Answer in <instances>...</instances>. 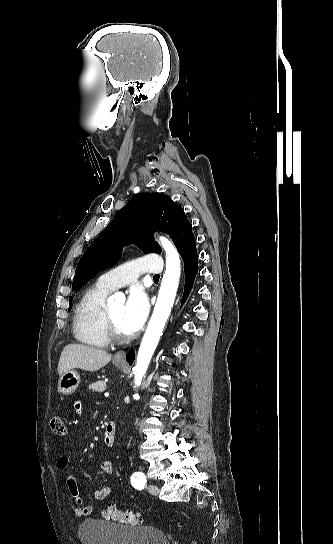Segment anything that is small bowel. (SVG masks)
Returning a JSON list of instances; mask_svg holds the SVG:
<instances>
[{
    "label": "small bowel",
    "mask_w": 333,
    "mask_h": 544,
    "mask_svg": "<svg viewBox=\"0 0 333 544\" xmlns=\"http://www.w3.org/2000/svg\"><path fill=\"white\" fill-rule=\"evenodd\" d=\"M75 409L77 412H81V404L76 403ZM69 460L65 456H60L57 459L56 466L59 470H66L68 468ZM100 471L103 474H112L114 471V465L111 461L105 460L100 464ZM67 488L71 497L75 501V506L72 509V512L75 516H84L89 515L92 512V506L86 504L80 496L78 483L73 474L69 473L66 479ZM111 494L110 486H101L96 489L93 493V498L97 501H103L107 499Z\"/></svg>",
    "instance_id": "obj_1"
}]
</instances>
